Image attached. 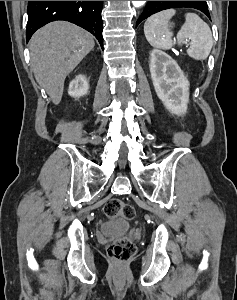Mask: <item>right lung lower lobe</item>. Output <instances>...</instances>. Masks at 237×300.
Returning a JSON list of instances; mask_svg holds the SVG:
<instances>
[{
  "label": "right lung lower lobe",
  "mask_w": 237,
  "mask_h": 300,
  "mask_svg": "<svg viewBox=\"0 0 237 300\" xmlns=\"http://www.w3.org/2000/svg\"><path fill=\"white\" fill-rule=\"evenodd\" d=\"M102 6L103 1H29L26 40L45 24L65 20L88 30L103 47Z\"/></svg>",
  "instance_id": "right-lung-lower-lobe-1"
}]
</instances>
